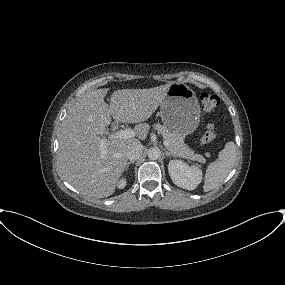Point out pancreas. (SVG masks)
Segmentation results:
<instances>
[{
  "instance_id": "obj_1",
  "label": "pancreas",
  "mask_w": 285,
  "mask_h": 285,
  "mask_svg": "<svg viewBox=\"0 0 285 285\" xmlns=\"http://www.w3.org/2000/svg\"><path fill=\"white\" fill-rule=\"evenodd\" d=\"M154 129H156L159 133L163 135L165 140L168 141L169 145L167 149L177 157L190 159L193 161H198L200 163H204L205 159L203 156L199 154H195L192 149H190L183 141V136L179 133L170 131L165 126L161 124H155Z\"/></svg>"
}]
</instances>
